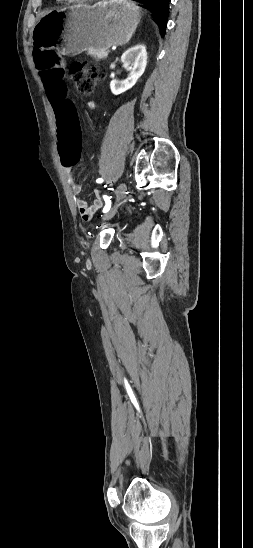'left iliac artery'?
<instances>
[{
  "label": "left iliac artery",
  "instance_id": "obj_1",
  "mask_svg": "<svg viewBox=\"0 0 253 548\" xmlns=\"http://www.w3.org/2000/svg\"><path fill=\"white\" fill-rule=\"evenodd\" d=\"M96 182H97V183H102V182H103V179H102V178H99V179L96 180ZM103 198H104V200H105V202H106V204H105V206H104V208H103V213H106V212H108V211L110 210V208H111V200H110V198H109L108 196H106V195H104Z\"/></svg>",
  "mask_w": 253,
  "mask_h": 548
}]
</instances>
